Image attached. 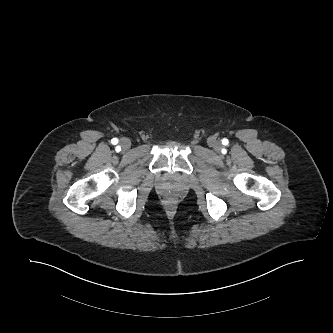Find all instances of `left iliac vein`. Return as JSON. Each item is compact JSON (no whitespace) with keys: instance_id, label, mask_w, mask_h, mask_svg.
<instances>
[{"instance_id":"4c4485c4","label":"left iliac vein","mask_w":333,"mask_h":333,"mask_svg":"<svg viewBox=\"0 0 333 333\" xmlns=\"http://www.w3.org/2000/svg\"><path fill=\"white\" fill-rule=\"evenodd\" d=\"M210 144L214 148L215 151H219L220 150V143L218 141L212 140Z\"/></svg>"}]
</instances>
